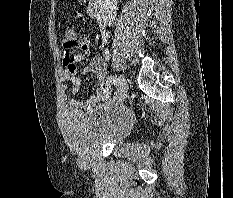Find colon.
<instances>
[{"label":"colon","mask_w":233,"mask_h":198,"mask_svg":"<svg viewBox=\"0 0 233 198\" xmlns=\"http://www.w3.org/2000/svg\"><path fill=\"white\" fill-rule=\"evenodd\" d=\"M63 46L66 48H73L77 42V35L74 30L65 28L62 31Z\"/></svg>","instance_id":"colon-1"}]
</instances>
